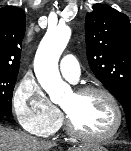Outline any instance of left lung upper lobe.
Segmentation results:
<instances>
[{"label": "left lung upper lobe", "instance_id": "obj_1", "mask_svg": "<svg viewBox=\"0 0 131 151\" xmlns=\"http://www.w3.org/2000/svg\"><path fill=\"white\" fill-rule=\"evenodd\" d=\"M86 52L91 70L118 99L131 134V24L128 17L95 4L85 18Z\"/></svg>", "mask_w": 131, "mask_h": 151}]
</instances>
